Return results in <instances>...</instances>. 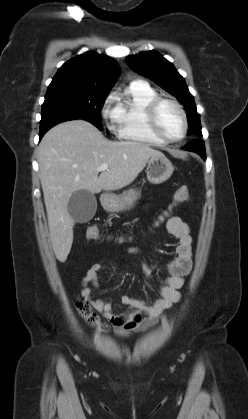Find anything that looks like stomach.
Instances as JSON below:
<instances>
[{"instance_id": "obj_1", "label": "stomach", "mask_w": 248, "mask_h": 419, "mask_svg": "<svg viewBox=\"0 0 248 419\" xmlns=\"http://www.w3.org/2000/svg\"><path fill=\"white\" fill-rule=\"evenodd\" d=\"M174 167L165 156H153L148 160L146 174L152 184H160L170 178ZM140 196V192L130 190L121 195H109L103 201V207L111 212H121L132 208Z\"/></svg>"}]
</instances>
